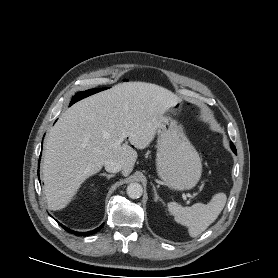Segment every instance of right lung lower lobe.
I'll return each mask as SVG.
<instances>
[{
  "instance_id": "obj_1",
  "label": "right lung lower lobe",
  "mask_w": 278,
  "mask_h": 278,
  "mask_svg": "<svg viewBox=\"0 0 278 278\" xmlns=\"http://www.w3.org/2000/svg\"><path fill=\"white\" fill-rule=\"evenodd\" d=\"M59 223V222H58ZM60 224V223H59ZM66 231L70 232V233H73V234H76V235H82V236H87V235H91V234H94L96 233L99 229L102 228V225L100 227H98L97 229L95 230H92V231H89V232H76V231H73V230H70L68 229L67 227L63 226L62 224H60Z\"/></svg>"
}]
</instances>
